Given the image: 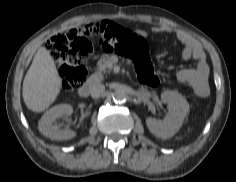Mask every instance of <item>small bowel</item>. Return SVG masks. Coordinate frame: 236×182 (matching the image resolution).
<instances>
[{"mask_svg": "<svg viewBox=\"0 0 236 182\" xmlns=\"http://www.w3.org/2000/svg\"><path fill=\"white\" fill-rule=\"evenodd\" d=\"M154 32L171 33L173 30L169 26H158L153 28ZM177 40L183 45L182 57L185 60L193 58L196 65L192 68H183L177 72V79L188 84L197 97L203 98L209 94V65L207 63L206 54L201 44L187 35L176 33Z\"/></svg>", "mask_w": 236, "mask_h": 182, "instance_id": "obj_1", "label": "small bowel"}]
</instances>
